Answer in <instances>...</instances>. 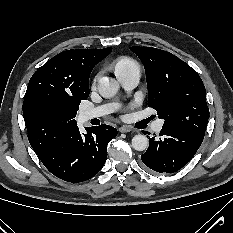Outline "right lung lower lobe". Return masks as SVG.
Instances as JSON below:
<instances>
[{"label":"right lung lower lobe","instance_id":"1","mask_svg":"<svg viewBox=\"0 0 233 233\" xmlns=\"http://www.w3.org/2000/svg\"><path fill=\"white\" fill-rule=\"evenodd\" d=\"M81 134L78 127L57 137L41 154L43 165L56 177L78 183L95 176L104 166L107 145L117 136L116 128L102 124L86 128Z\"/></svg>","mask_w":233,"mask_h":233}]
</instances>
